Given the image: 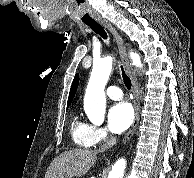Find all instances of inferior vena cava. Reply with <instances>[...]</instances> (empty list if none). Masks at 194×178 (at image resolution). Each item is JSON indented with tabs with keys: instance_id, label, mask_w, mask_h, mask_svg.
Returning a JSON list of instances; mask_svg holds the SVG:
<instances>
[{
	"instance_id": "inferior-vena-cava-1",
	"label": "inferior vena cava",
	"mask_w": 194,
	"mask_h": 178,
	"mask_svg": "<svg viewBox=\"0 0 194 178\" xmlns=\"http://www.w3.org/2000/svg\"><path fill=\"white\" fill-rule=\"evenodd\" d=\"M116 144V137L111 136L109 140L99 148V152H104Z\"/></svg>"
}]
</instances>
